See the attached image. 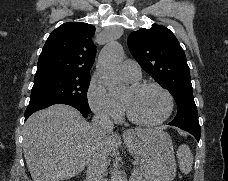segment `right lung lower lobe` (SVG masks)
Returning <instances> with one entry per match:
<instances>
[{
  "label": "right lung lower lobe",
  "instance_id": "right-lung-lower-lobe-1",
  "mask_svg": "<svg viewBox=\"0 0 228 181\" xmlns=\"http://www.w3.org/2000/svg\"><path fill=\"white\" fill-rule=\"evenodd\" d=\"M53 104H58V103H47V104H40V105L28 106L27 109H26V111H25V120H26L32 113H34L35 111H38V110H40V109H44V108L49 107V106H51V105H53ZM62 104H65V103H62ZM80 112L82 113V115H83L84 117H87L88 114H89V113H87V112H82V111H80Z\"/></svg>",
  "mask_w": 228,
  "mask_h": 181
}]
</instances>
